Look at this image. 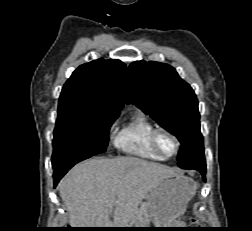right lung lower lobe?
Instances as JSON below:
<instances>
[{"mask_svg": "<svg viewBox=\"0 0 252 231\" xmlns=\"http://www.w3.org/2000/svg\"><path fill=\"white\" fill-rule=\"evenodd\" d=\"M91 156H84V157H78L74 158L72 160L66 161L64 163L58 164L56 166H53V178H54V187L58 184L59 180L66 174V172L74 166L76 163L85 160L87 158H90Z\"/></svg>", "mask_w": 252, "mask_h": 231, "instance_id": "right-lung-lower-lobe-1", "label": "right lung lower lobe"}]
</instances>
